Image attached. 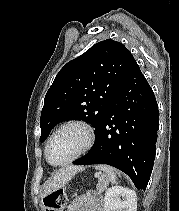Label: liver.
Masks as SVG:
<instances>
[{"mask_svg": "<svg viewBox=\"0 0 179 211\" xmlns=\"http://www.w3.org/2000/svg\"><path fill=\"white\" fill-rule=\"evenodd\" d=\"M81 166H68L61 168L52 176V178L47 183L42 197L64 187L66 183L78 172L82 171Z\"/></svg>", "mask_w": 179, "mask_h": 211, "instance_id": "6515ba94", "label": "liver"}]
</instances>
